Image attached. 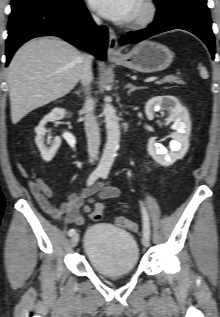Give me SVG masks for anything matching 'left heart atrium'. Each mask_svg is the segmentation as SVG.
<instances>
[{
    "instance_id": "obj_1",
    "label": "left heart atrium",
    "mask_w": 220,
    "mask_h": 317,
    "mask_svg": "<svg viewBox=\"0 0 220 317\" xmlns=\"http://www.w3.org/2000/svg\"><path fill=\"white\" fill-rule=\"evenodd\" d=\"M139 0H89L90 6L104 17L127 22L134 17Z\"/></svg>"
}]
</instances>
